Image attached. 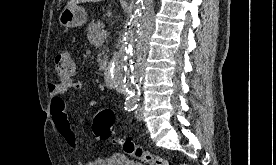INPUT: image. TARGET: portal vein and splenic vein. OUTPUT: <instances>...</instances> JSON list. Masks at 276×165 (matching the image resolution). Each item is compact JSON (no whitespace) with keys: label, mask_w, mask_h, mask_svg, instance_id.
Returning <instances> with one entry per match:
<instances>
[{"label":"portal vein and splenic vein","mask_w":276,"mask_h":165,"mask_svg":"<svg viewBox=\"0 0 276 165\" xmlns=\"http://www.w3.org/2000/svg\"><path fill=\"white\" fill-rule=\"evenodd\" d=\"M107 37V31L102 30L101 33L98 35V38L101 39H105Z\"/></svg>","instance_id":"portal-vein-and-splenic-vein-1"}]
</instances>
